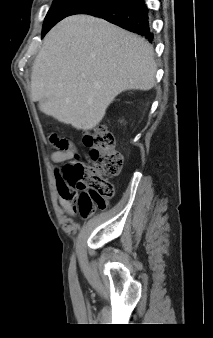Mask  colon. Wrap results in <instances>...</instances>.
<instances>
[{
  "label": "colon",
  "instance_id": "colon-1",
  "mask_svg": "<svg viewBox=\"0 0 213 338\" xmlns=\"http://www.w3.org/2000/svg\"><path fill=\"white\" fill-rule=\"evenodd\" d=\"M84 142L89 148L90 164H84L79 157L66 161L60 172H55L59 191L67 188L81 195L87 204L80 212L84 216L106 208L105 198L114 195L111 179L120 174L122 155L116 149L114 137L104 128L99 127L84 133ZM68 147L66 140L57 146L64 151Z\"/></svg>",
  "mask_w": 213,
  "mask_h": 338
}]
</instances>
